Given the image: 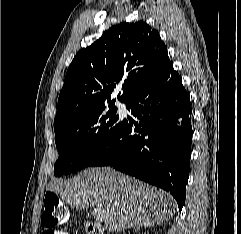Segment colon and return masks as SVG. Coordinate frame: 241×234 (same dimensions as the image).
<instances>
[{"label":"colon","mask_w":241,"mask_h":234,"mask_svg":"<svg viewBox=\"0 0 241 234\" xmlns=\"http://www.w3.org/2000/svg\"><path fill=\"white\" fill-rule=\"evenodd\" d=\"M45 209L42 215V224L47 230L65 223L69 218V211L65 204L54 193L45 197Z\"/></svg>","instance_id":"obj_1"}]
</instances>
